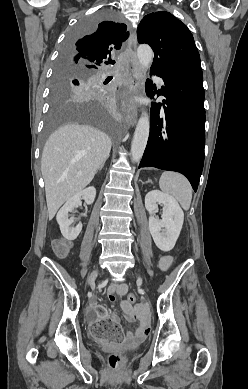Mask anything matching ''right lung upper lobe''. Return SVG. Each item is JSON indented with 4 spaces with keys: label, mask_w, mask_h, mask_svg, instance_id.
<instances>
[{
    "label": "right lung upper lobe",
    "mask_w": 248,
    "mask_h": 389,
    "mask_svg": "<svg viewBox=\"0 0 248 389\" xmlns=\"http://www.w3.org/2000/svg\"><path fill=\"white\" fill-rule=\"evenodd\" d=\"M129 36L125 24L113 21L101 22L93 32L74 41L69 50L62 54L63 64L95 71L98 66L108 64L111 52L120 49Z\"/></svg>",
    "instance_id": "obj_1"
}]
</instances>
